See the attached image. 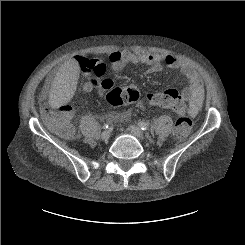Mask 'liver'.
Here are the masks:
<instances>
[{
    "mask_svg": "<svg viewBox=\"0 0 245 245\" xmlns=\"http://www.w3.org/2000/svg\"><path fill=\"white\" fill-rule=\"evenodd\" d=\"M78 75L79 65L75 59L68 60L59 68L49 93L51 108H58L71 100L75 93Z\"/></svg>",
    "mask_w": 245,
    "mask_h": 245,
    "instance_id": "liver-1",
    "label": "liver"
}]
</instances>
